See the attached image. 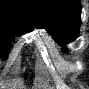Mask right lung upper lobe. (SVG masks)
Segmentation results:
<instances>
[{
	"label": "right lung upper lobe",
	"instance_id": "cb5924a9",
	"mask_svg": "<svg viewBox=\"0 0 89 89\" xmlns=\"http://www.w3.org/2000/svg\"><path fill=\"white\" fill-rule=\"evenodd\" d=\"M7 22L25 30L34 29L32 0H0V23Z\"/></svg>",
	"mask_w": 89,
	"mask_h": 89
}]
</instances>
